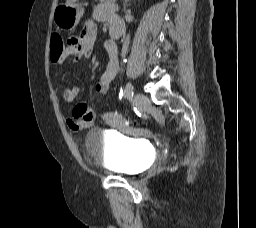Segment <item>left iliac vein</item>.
Instances as JSON below:
<instances>
[{"instance_id":"4c4485c4","label":"left iliac vein","mask_w":256,"mask_h":228,"mask_svg":"<svg viewBox=\"0 0 256 228\" xmlns=\"http://www.w3.org/2000/svg\"><path fill=\"white\" fill-rule=\"evenodd\" d=\"M134 100H135V103H136L137 107L140 110H144L150 105L149 98L146 95L142 94V93L136 94L135 97H134Z\"/></svg>"}]
</instances>
